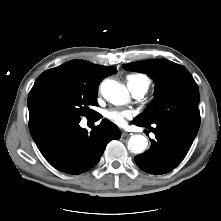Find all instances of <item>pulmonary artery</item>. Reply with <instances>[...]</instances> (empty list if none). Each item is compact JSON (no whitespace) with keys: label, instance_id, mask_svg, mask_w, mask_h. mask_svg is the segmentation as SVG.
<instances>
[{"label":"pulmonary artery","instance_id":"pulmonary-artery-1","mask_svg":"<svg viewBox=\"0 0 221 221\" xmlns=\"http://www.w3.org/2000/svg\"><path fill=\"white\" fill-rule=\"evenodd\" d=\"M129 88H130L133 96L137 99H141L144 96L145 92H146L144 89L138 88V87L137 88H132L131 86H129Z\"/></svg>","mask_w":221,"mask_h":221}]
</instances>
